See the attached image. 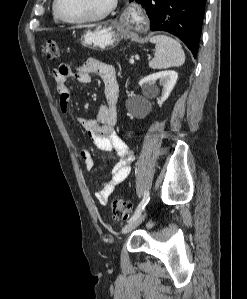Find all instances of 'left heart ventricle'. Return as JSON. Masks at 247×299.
I'll return each instance as SVG.
<instances>
[{
  "instance_id": "obj_1",
  "label": "left heart ventricle",
  "mask_w": 247,
  "mask_h": 299,
  "mask_svg": "<svg viewBox=\"0 0 247 299\" xmlns=\"http://www.w3.org/2000/svg\"><path fill=\"white\" fill-rule=\"evenodd\" d=\"M110 0H59V11L68 19L89 17L101 12Z\"/></svg>"
}]
</instances>
